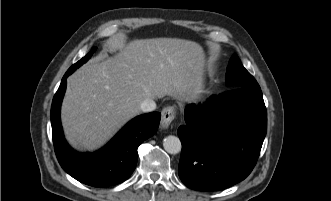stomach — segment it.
Wrapping results in <instances>:
<instances>
[{
	"label": "stomach",
	"instance_id": "0dacf381",
	"mask_svg": "<svg viewBox=\"0 0 331 201\" xmlns=\"http://www.w3.org/2000/svg\"><path fill=\"white\" fill-rule=\"evenodd\" d=\"M201 91H202V90H201V84H200V86L197 88L196 95L199 94Z\"/></svg>",
	"mask_w": 331,
	"mask_h": 201
}]
</instances>
